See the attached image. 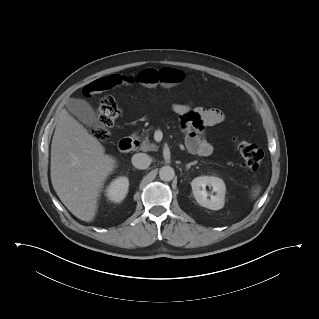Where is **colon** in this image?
Wrapping results in <instances>:
<instances>
[{
	"mask_svg": "<svg viewBox=\"0 0 319 319\" xmlns=\"http://www.w3.org/2000/svg\"><path fill=\"white\" fill-rule=\"evenodd\" d=\"M120 115V109L114 98L111 96L103 97L97 113V123L92 133L100 141H106L109 137V128ZM235 145L242 155L245 165L251 171H257L263 161V151L253 143L246 140H236Z\"/></svg>",
	"mask_w": 319,
	"mask_h": 319,
	"instance_id": "colon-1",
	"label": "colon"
}]
</instances>
